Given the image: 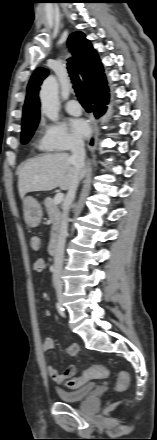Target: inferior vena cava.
Returning a JSON list of instances; mask_svg holds the SVG:
<instances>
[{"mask_svg":"<svg viewBox=\"0 0 157 440\" xmlns=\"http://www.w3.org/2000/svg\"><path fill=\"white\" fill-rule=\"evenodd\" d=\"M71 160L76 169L75 177L71 183L70 188L65 199V210L62 215L59 235L56 242L55 254H54V269H53V285L56 290H62V267L64 260V248L66 237L68 235V212L72 202L75 199L77 187L79 185L80 171L85 165V148L84 141L82 139H74L71 147Z\"/></svg>","mask_w":157,"mask_h":440,"instance_id":"602c4592","label":"inferior vena cava"}]
</instances>
